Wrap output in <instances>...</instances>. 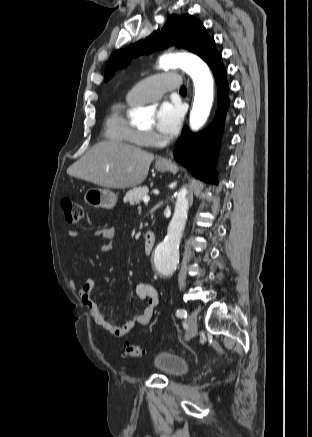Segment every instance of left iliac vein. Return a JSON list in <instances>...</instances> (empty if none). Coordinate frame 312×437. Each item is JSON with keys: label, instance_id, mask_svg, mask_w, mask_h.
Masks as SVG:
<instances>
[{"label": "left iliac vein", "instance_id": "1", "mask_svg": "<svg viewBox=\"0 0 312 437\" xmlns=\"http://www.w3.org/2000/svg\"><path fill=\"white\" fill-rule=\"evenodd\" d=\"M187 331H186V339H190L197 332V315L195 312H190L188 318L186 320Z\"/></svg>", "mask_w": 312, "mask_h": 437}]
</instances>
